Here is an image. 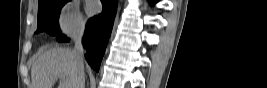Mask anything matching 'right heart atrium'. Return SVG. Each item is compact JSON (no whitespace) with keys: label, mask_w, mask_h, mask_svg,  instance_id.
Returning <instances> with one entry per match:
<instances>
[{"label":"right heart atrium","mask_w":267,"mask_h":88,"mask_svg":"<svg viewBox=\"0 0 267 88\" xmlns=\"http://www.w3.org/2000/svg\"><path fill=\"white\" fill-rule=\"evenodd\" d=\"M61 31L69 36L80 35L85 28V21L75 4L67 5L58 16Z\"/></svg>","instance_id":"obj_1"}]
</instances>
